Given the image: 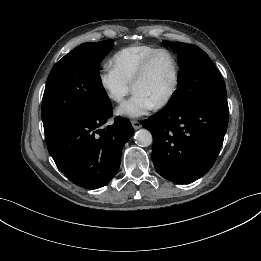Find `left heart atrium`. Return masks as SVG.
Returning a JSON list of instances; mask_svg holds the SVG:
<instances>
[{
  "instance_id": "1",
  "label": "left heart atrium",
  "mask_w": 261,
  "mask_h": 261,
  "mask_svg": "<svg viewBox=\"0 0 261 261\" xmlns=\"http://www.w3.org/2000/svg\"><path fill=\"white\" fill-rule=\"evenodd\" d=\"M155 108V103L140 92L133 95L119 106L117 113L121 116L137 118Z\"/></svg>"
}]
</instances>
